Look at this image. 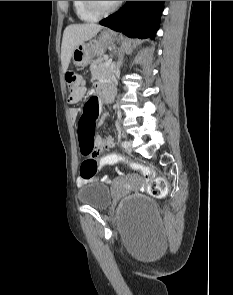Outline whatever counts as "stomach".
<instances>
[{
  "mask_svg": "<svg viewBox=\"0 0 233 295\" xmlns=\"http://www.w3.org/2000/svg\"><path fill=\"white\" fill-rule=\"evenodd\" d=\"M115 36L113 31L104 30L99 36L79 44L72 52L74 65L85 67L92 62L94 56H102L106 47L114 42Z\"/></svg>",
  "mask_w": 233,
  "mask_h": 295,
  "instance_id": "1",
  "label": "stomach"
}]
</instances>
